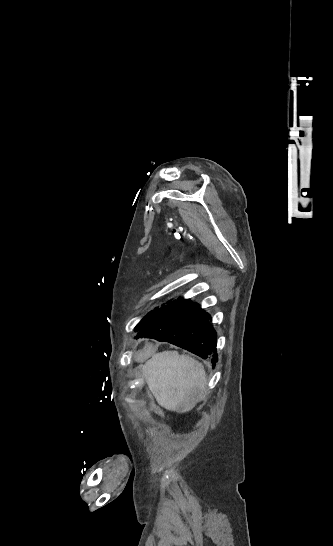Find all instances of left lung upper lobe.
Instances as JSON below:
<instances>
[{"label":"left lung upper lobe","mask_w":333,"mask_h":546,"mask_svg":"<svg viewBox=\"0 0 333 546\" xmlns=\"http://www.w3.org/2000/svg\"><path fill=\"white\" fill-rule=\"evenodd\" d=\"M156 309L151 311L147 316H145L140 322L139 324L137 325L138 327H141L152 315H154L156 313Z\"/></svg>","instance_id":"obj_1"}]
</instances>
